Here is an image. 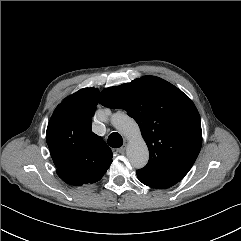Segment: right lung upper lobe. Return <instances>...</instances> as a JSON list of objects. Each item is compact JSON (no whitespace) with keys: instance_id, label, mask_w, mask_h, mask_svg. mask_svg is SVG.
Here are the masks:
<instances>
[{"instance_id":"1","label":"right lung upper lobe","mask_w":241,"mask_h":241,"mask_svg":"<svg viewBox=\"0 0 241 241\" xmlns=\"http://www.w3.org/2000/svg\"><path fill=\"white\" fill-rule=\"evenodd\" d=\"M99 90L84 88L65 98L55 109L46 141L58 172L82 183L99 181L112 163V151L91 129Z\"/></svg>"}]
</instances>
